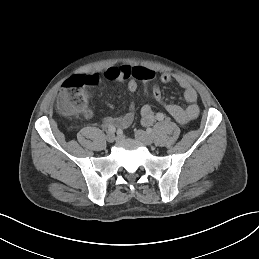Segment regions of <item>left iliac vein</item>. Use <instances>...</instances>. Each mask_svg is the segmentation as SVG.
<instances>
[{
    "label": "left iliac vein",
    "mask_w": 259,
    "mask_h": 259,
    "mask_svg": "<svg viewBox=\"0 0 259 259\" xmlns=\"http://www.w3.org/2000/svg\"><path fill=\"white\" fill-rule=\"evenodd\" d=\"M135 138L136 140L147 146L152 145L153 143L152 136L143 130H137L135 132Z\"/></svg>",
    "instance_id": "1"
}]
</instances>
